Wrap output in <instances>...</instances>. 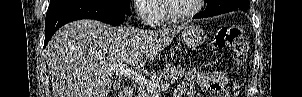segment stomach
Wrapping results in <instances>:
<instances>
[{
  "label": "stomach",
  "instance_id": "1",
  "mask_svg": "<svg viewBox=\"0 0 302 97\" xmlns=\"http://www.w3.org/2000/svg\"><path fill=\"white\" fill-rule=\"evenodd\" d=\"M181 38L188 47H197L204 43L205 33L198 26L187 25L182 30Z\"/></svg>",
  "mask_w": 302,
  "mask_h": 97
}]
</instances>
